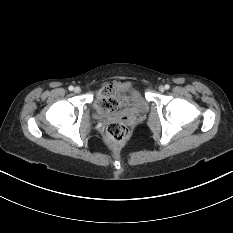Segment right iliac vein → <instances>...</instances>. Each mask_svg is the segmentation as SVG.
Returning <instances> with one entry per match:
<instances>
[{
  "label": "right iliac vein",
  "mask_w": 233,
  "mask_h": 233,
  "mask_svg": "<svg viewBox=\"0 0 233 233\" xmlns=\"http://www.w3.org/2000/svg\"><path fill=\"white\" fill-rule=\"evenodd\" d=\"M74 92L76 93V94H78V93H80L81 92V88L80 87H75L74 88Z\"/></svg>",
  "instance_id": "obj_1"
}]
</instances>
